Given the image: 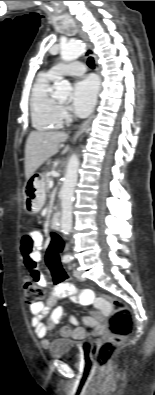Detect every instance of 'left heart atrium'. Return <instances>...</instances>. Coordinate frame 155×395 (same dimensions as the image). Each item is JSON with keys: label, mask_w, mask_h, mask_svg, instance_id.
Masks as SVG:
<instances>
[{"label": "left heart atrium", "mask_w": 155, "mask_h": 395, "mask_svg": "<svg viewBox=\"0 0 155 395\" xmlns=\"http://www.w3.org/2000/svg\"><path fill=\"white\" fill-rule=\"evenodd\" d=\"M98 92V82L88 76L77 81L73 88L71 108L79 117H85L92 110Z\"/></svg>", "instance_id": "39dd6f15"}]
</instances>
